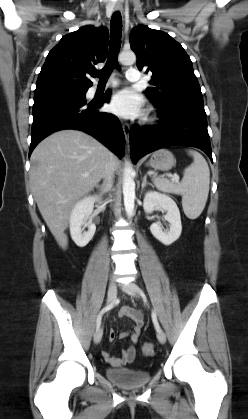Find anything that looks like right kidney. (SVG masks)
<instances>
[{
  "instance_id": "ca27d5eb",
  "label": "right kidney",
  "mask_w": 248,
  "mask_h": 419,
  "mask_svg": "<svg viewBox=\"0 0 248 419\" xmlns=\"http://www.w3.org/2000/svg\"><path fill=\"white\" fill-rule=\"evenodd\" d=\"M101 197L98 195L88 196L76 203L70 214V234L72 240L79 247L86 246L93 238L96 226L92 223L90 215L93 212L94 203L99 202ZM82 226L88 227L87 232H83Z\"/></svg>"
}]
</instances>
